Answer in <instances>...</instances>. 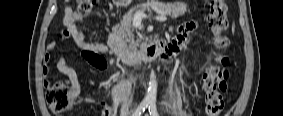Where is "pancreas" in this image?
<instances>
[{
	"instance_id": "obj_1",
	"label": "pancreas",
	"mask_w": 283,
	"mask_h": 116,
	"mask_svg": "<svg viewBox=\"0 0 283 116\" xmlns=\"http://www.w3.org/2000/svg\"><path fill=\"white\" fill-rule=\"evenodd\" d=\"M152 7H156L159 14L169 15L174 19L184 15L187 11V5L184 3L177 2L173 4H165L155 0L148 1L147 3L131 8L128 13L124 15L120 25L113 28V32L111 34V38L118 48L130 49L132 51L136 50L139 40H134V29L132 26L134 15L137 12L144 13L145 11H150Z\"/></svg>"
}]
</instances>
